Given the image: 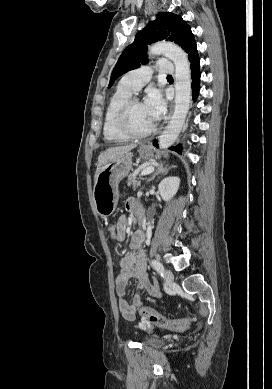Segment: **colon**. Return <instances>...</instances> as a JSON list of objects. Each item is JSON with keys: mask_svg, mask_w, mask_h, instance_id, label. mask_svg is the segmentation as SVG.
<instances>
[{"mask_svg": "<svg viewBox=\"0 0 272 389\" xmlns=\"http://www.w3.org/2000/svg\"><path fill=\"white\" fill-rule=\"evenodd\" d=\"M108 232L112 239H116L118 235L117 225L116 224L110 225L108 227ZM141 312L146 318L148 323L162 329H167L171 331H182L186 329L190 323V320L188 318H183L178 320L167 319L148 306L142 307Z\"/></svg>", "mask_w": 272, "mask_h": 389, "instance_id": "1", "label": "colon"}]
</instances>
